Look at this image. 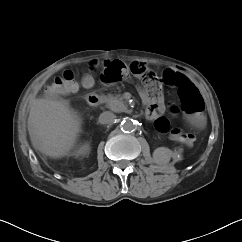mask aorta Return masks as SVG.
Segmentation results:
<instances>
[{"label":"aorta","mask_w":242,"mask_h":242,"mask_svg":"<svg viewBox=\"0 0 242 242\" xmlns=\"http://www.w3.org/2000/svg\"><path fill=\"white\" fill-rule=\"evenodd\" d=\"M121 129L126 132H132L136 129V122L133 119H124L121 122Z\"/></svg>","instance_id":"1"}]
</instances>
